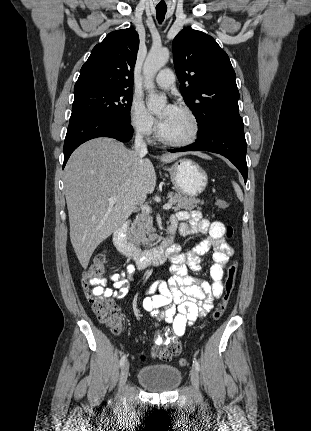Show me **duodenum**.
I'll return each mask as SVG.
<instances>
[{
	"label": "duodenum",
	"mask_w": 311,
	"mask_h": 431,
	"mask_svg": "<svg viewBox=\"0 0 311 431\" xmlns=\"http://www.w3.org/2000/svg\"><path fill=\"white\" fill-rule=\"evenodd\" d=\"M128 222H123L113 234L114 246L128 256L137 266L146 267L150 264H159L170 258L174 248L175 232L169 229V235L157 246L142 249L131 242L127 237Z\"/></svg>",
	"instance_id": "duodenum-1"
}]
</instances>
